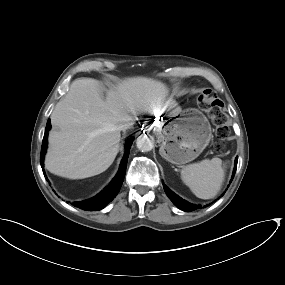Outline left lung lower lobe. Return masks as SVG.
Segmentation results:
<instances>
[{
	"instance_id": "obj_1",
	"label": "left lung lower lobe",
	"mask_w": 285,
	"mask_h": 285,
	"mask_svg": "<svg viewBox=\"0 0 285 285\" xmlns=\"http://www.w3.org/2000/svg\"><path fill=\"white\" fill-rule=\"evenodd\" d=\"M237 161H238V158L235 159V166H234V170H233L232 179H233L234 174L236 172ZM232 179H231V181H232ZM231 181H230V183H231ZM163 187H164V190H165L167 196L171 199V201L179 209H181V210H183L185 212H191V211H193V210L198 208L196 205H193V204L183 200L182 198H180L178 195H176L174 192H172L170 189H168V187L164 183H163Z\"/></svg>"
}]
</instances>
